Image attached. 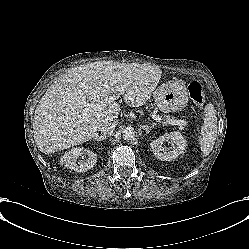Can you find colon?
Here are the masks:
<instances>
[{
  "label": "colon",
  "instance_id": "5ec220e1",
  "mask_svg": "<svg viewBox=\"0 0 249 249\" xmlns=\"http://www.w3.org/2000/svg\"><path fill=\"white\" fill-rule=\"evenodd\" d=\"M189 96L194 104L201 106L204 103L202 87L197 82H192L188 86Z\"/></svg>",
  "mask_w": 249,
  "mask_h": 249
}]
</instances>
